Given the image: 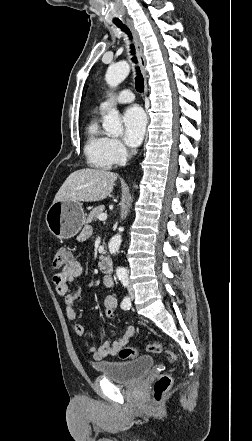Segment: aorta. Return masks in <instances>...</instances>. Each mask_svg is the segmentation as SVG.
<instances>
[{
	"label": "aorta",
	"mask_w": 252,
	"mask_h": 441,
	"mask_svg": "<svg viewBox=\"0 0 252 441\" xmlns=\"http://www.w3.org/2000/svg\"><path fill=\"white\" fill-rule=\"evenodd\" d=\"M130 72V66L127 62H119L108 67L105 75V80L110 87H117ZM103 128L111 136L117 137L123 131V126L120 121L119 111L116 108L110 109L103 119ZM122 242V236L116 234L109 242V251L115 255ZM116 274L119 277L127 276V270L124 267H117Z\"/></svg>",
	"instance_id": "762f6f07"
}]
</instances>
